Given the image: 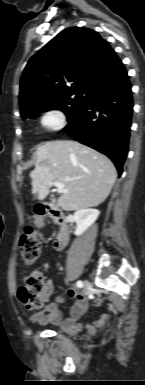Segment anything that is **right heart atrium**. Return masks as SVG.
I'll list each match as a JSON object with an SVG mask.
<instances>
[{"mask_svg": "<svg viewBox=\"0 0 145 385\" xmlns=\"http://www.w3.org/2000/svg\"><path fill=\"white\" fill-rule=\"evenodd\" d=\"M40 124L46 132H56L65 125V114L59 108H51L40 117Z\"/></svg>", "mask_w": 145, "mask_h": 385, "instance_id": "obj_1", "label": "right heart atrium"}]
</instances>
